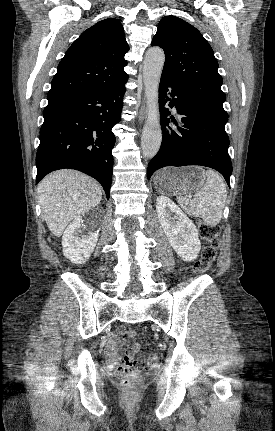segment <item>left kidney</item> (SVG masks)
<instances>
[{"instance_id": "1", "label": "left kidney", "mask_w": 275, "mask_h": 431, "mask_svg": "<svg viewBox=\"0 0 275 431\" xmlns=\"http://www.w3.org/2000/svg\"><path fill=\"white\" fill-rule=\"evenodd\" d=\"M159 222L175 252L184 261L195 260L201 249L198 230L184 212L168 197H157ZM174 213V217H171Z\"/></svg>"}]
</instances>
